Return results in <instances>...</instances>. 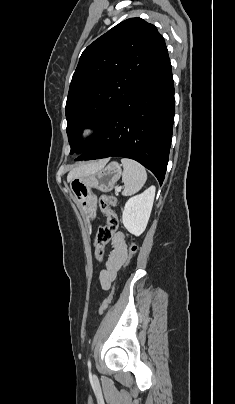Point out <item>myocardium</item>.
Here are the masks:
<instances>
[{
	"mask_svg": "<svg viewBox=\"0 0 235 404\" xmlns=\"http://www.w3.org/2000/svg\"><path fill=\"white\" fill-rule=\"evenodd\" d=\"M97 128L93 122L86 123L80 130V137L83 140L92 138L96 134Z\"/></svg>",
	"mask_w": 235,
	"mask_h": 404,
	"instance_id": "obj_1",
	"label": "myocardium"
}]
</instances>
